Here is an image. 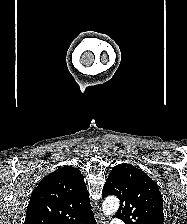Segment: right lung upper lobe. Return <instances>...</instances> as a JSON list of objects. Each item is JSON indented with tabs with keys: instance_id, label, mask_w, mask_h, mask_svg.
Masks as SVG:
<instances>
[{
	"instance_id": "1",
	"label": "right lung upper lobe",
	"mask_w": 187,
	"mask_h": 224,
	"mask_svg": "<svg viewBox=\"0 0 187 224\" xmlns=\"http://www.w3.org/2000/svg\"><path fill=\"white\" fill-rule=\"evenodd\" d=\"M94 219L81 172L64 166L33 190L24 224H87Z\"/></svg>"
}]
</instances>
